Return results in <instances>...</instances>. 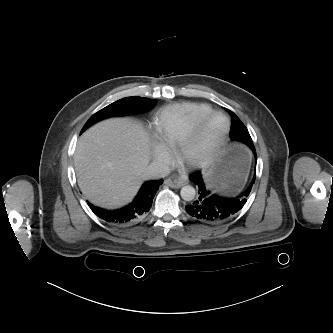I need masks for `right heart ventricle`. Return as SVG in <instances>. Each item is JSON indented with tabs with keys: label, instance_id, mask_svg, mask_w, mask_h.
Listing matches in <instances>:
<instances>
[{
	"label": "right heart ventricle",
	"instance_id": "obj_1",
	"mask_svg": "<svg viewBox=\"0 0 333 333\" xmlns=\"http://www.w3.org/2000/svg\"><path fill=\"white\" fill-rule=\"evenodd\" d=\"M212 110L211 106L196 102L167 106L154 119V135L168 150L175 149L188 134L191 126Z\"/></svg>",
	"mask_w": 333,
	"mask_h": 333
}]
</instances>
